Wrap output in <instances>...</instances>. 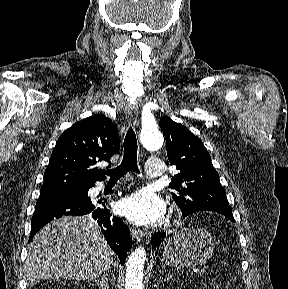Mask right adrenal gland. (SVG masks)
Returning a JSON list of instances; mask_svg holds the SVG:
<instances>
[{
    "label": "right adrenal gland",
    "mask_w": 288,
    "mask_h": 289,
    "mask_svg": "<svg viewBox=\"0 0 288 289\" xmlns=\"http://www.w3.org/2000/svg\"><path fill=\"white\" fill-rule=\"evenodd\" d=\"M92 282H94L99 289H109L108 283L105 279V275L102 276V278H94L91 280Z\"/></svg>",
    "instance_id": "2a0ac1e0"
}]
</instances>
